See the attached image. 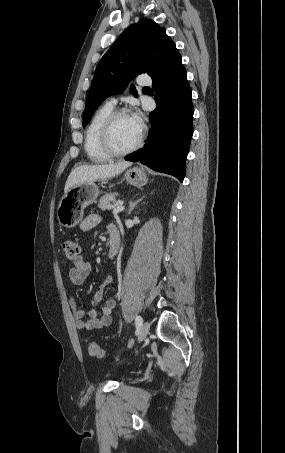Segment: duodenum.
I'll return each instance as SVG.
<instances>
[{
  "instance_id": "410a0bca",
  "label": "duodenum",
  "mask_w": 285,
  "mask_h": 453,
  "mask_svg": "<svg viewBox=\"0 0 285 453\" xmlns=\"http://www.w3.org/2000/svg\"><path fill=\"white\" fill-rule=\"evenodd\" d=\"M120 239L112 238L109 240L108 258L113 259L119 252Z\"/></svg>"
}]
</instances>
